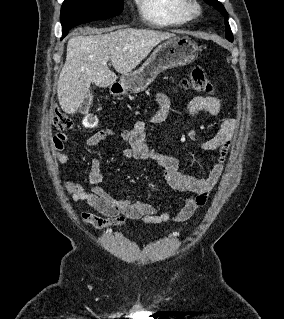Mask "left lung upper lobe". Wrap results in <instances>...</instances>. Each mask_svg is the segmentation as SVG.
<instances>
[{"instance_id":"5c2ea615","label":"left lung upper lobe","mask_w":284,"mask_h":319,"mask_svg":"<svg viewBox=\"0 0 284 319\" xmlns=\"http://www.w3.org/2000/svg\"><path fill=\"white\" fill-rule=\"evenodd\" d=\"M206 3H208L209 5L213 6L214 8H216L224 17H225V25H226V38L229 41H233V35L228 23V13L226 12L225 8L222 6V4L220 2H218L217 0H204Z\"/></svg>"}]
</instances>
